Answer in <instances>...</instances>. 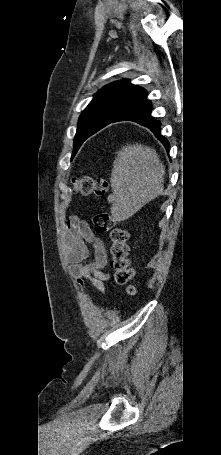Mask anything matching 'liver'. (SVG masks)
Segmentation results:
<instances>
[{"mask_svg":"<svg viewBox=\"0 0 221 455\" xmlns=\"http://www.w3.org/2000/svg\"><path fill=\"white\" fill-rule=\"evenodd\" d=\"M165 166L154 149L127 144L116 154L110 177L111 215L121 222L132 217L164 190Z\"/></svg>","mask_w":221,"mask_h":455,"instance_id":"6515ba94","label":"liver"}]
</instances>
